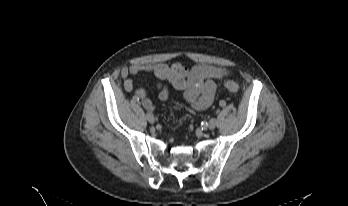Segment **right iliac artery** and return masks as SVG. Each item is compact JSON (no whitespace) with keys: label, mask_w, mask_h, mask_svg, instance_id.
<instances>
[{"label":"right iliac artery","mask_w":348,"mask_h":206,"mask_svg":"<svg viewBox=\"0 0 348 206\" xmlns=\"http://www.w3.org/2000/svg\"><path fill=\"white\" fill-rule=\"evenodd\" d=\"M140 101L139 95H134L133 96V102L138 103Z\"/></svg>","instance_id":"obj_1"}]
</instances>
